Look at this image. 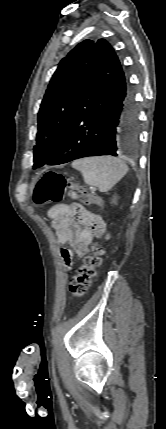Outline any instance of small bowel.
<instances>
[{
    "label": "small bowel",
    "mask_w": 166,
    "mask_h": 429,
    "mask_svg": "<svg viewBox=\"0 0 166 429\" xmlns=\"http://www.w3.org/2000/svg\"><path fill=\"white\" fill-rule=\"evenodd\" d=\"M48 216L58 243L69 245L60 251L67 267L71 266L75 255L85 257L94 236L103 234L106 228L99 215L80 204L55 205L49 209Z\"/></svg>",
    "instance_id": "1"
}]
</instances>
